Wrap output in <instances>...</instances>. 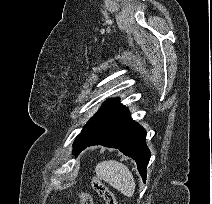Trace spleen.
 Returning <instances> with one entry per match:
<instances>
[{"label": "spleen", "mask_w": 212, "mask_h": 204, "mask_svg": "<svg viewBox=\"0 0 212 204\" xmlns=\"http://www.w3.org/2000/svg\"><path fill=\"white\" fill-rule=\"evenodd\" d=\"M98 179L109 183L127 197L135 192V180L126 165L115 160L102 161L95 168Z\"/></svg>", "instance_id": "spleen-1"}]
</instances>
